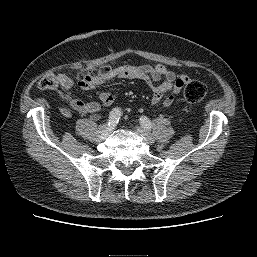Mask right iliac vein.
<instances>
[{
  "mask_svg": "<svg viewBox=\"0 0 257 257\" xmlns=\"http://www.w3.org/2000/svg\"><path fill=\"white\" fill-rule=\"evenodd\" d=\"M109 133H110V128L108 127V125H101L97 131L96 141L100 142L104 140L105 138H107Z\"/></svg>",
  "mask_w": 257,
  "mask_h": 257,
  "instance_id": "obj_1",
  "label": "right iliac vein"
}]
</instances>
